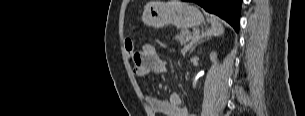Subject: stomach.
<instances>
[{
    "instance_id": "obj_1",
    "label": "stomach",
    "mask_w": 305,
    "mask_h": 116,
    "mask_svg": "<svg viewBox=\"0 0 305 116\" xmlns=\"http://www.w3.org/2000/svg\"><path fill=\"white\" fill-rule=\"evenodd\" d=\"M142 21L145 25L154 28L174 25L177 28L185 29L199 26L204 22V18L196 7L175 0L168 3L155 2L145 9Z\"/></svg>"
}]
</instances>
